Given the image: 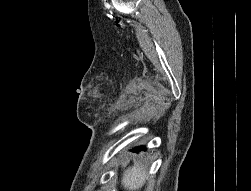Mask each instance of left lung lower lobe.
<instances>
[{"label":"left lung lower lobe","mask_w":251,"mask_h":191,"mask_svg":"<svg viewBox=\"0 0 251 191\" xmlns=\"http://www.w3.org/2000/svg\"><path fill=\"white\" fill-rule=\"evenodd\" d=\"M141 149H144V148H142V147H136V148L132 149L131 151L138 153L139 151H141Z\"/></svg>","instance_id":"left-lung-lower-lobe-1"}]
</instances>
